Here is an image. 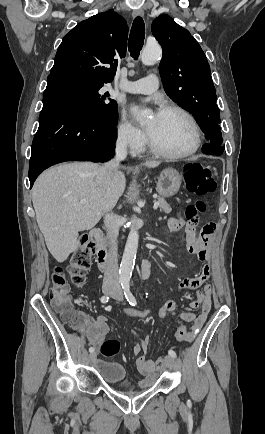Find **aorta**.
Returning <instances> with one entry per match:
<instances>
[{
  "instance_id": "aorta-1",
  "label": "aorta",
  "mask_w": 265,
  "mask_h": 434,
  "mask_svg": "<svg viewBox=\"0 0 265 434\" xmlns=\"http://www.w3.org/2000/svg\"><path fill=\"white\" fill-rule=\"evenodd\" d=\"M162 54L161 48H152V46H146L144 50H142L141 54V62L144 66H154L156 60L160 58ZM150 116L149 110H144V112H140L137 114V118L143 126L146 124V120ZM135 210V208H133ZM139 220L137 218H132L130 222V232L127 238V242L125 244L122 262L120 264L119 270V282H130V278L132 276V272L135 266L138 242H139Z\"/></svg>"
}]
</instances>
